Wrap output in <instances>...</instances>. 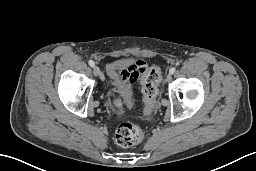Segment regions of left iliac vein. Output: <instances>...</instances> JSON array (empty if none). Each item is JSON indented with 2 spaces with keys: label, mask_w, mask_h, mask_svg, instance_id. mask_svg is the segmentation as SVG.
<instances>
[{
  "label": "left iliac vein",
  "mask_w": 256,
  "mask_h": 171,
  "mask_svg": "<svg viewBox=\"0 0 256 171\" xmlns=\"http://www.w3.org/2000/svg\"><path fill=\"white\" fill-rule=\"evenodd\" d=\"M171 80V73L169 72V74L166 77V82H169Z\"/></svg>",
  "instance_id": "1"
}]
</instances>
